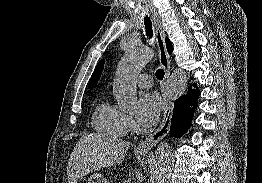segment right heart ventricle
<instances>
[{"label":"right heart ventricle","instance_id":"1","mask_svg":"<svg viewBox=\"0 0 262 183\" xmlns=\"http://www.w3.org/2000/svg\"><path fill=\"white\" fill-rule=\"evenodd\" d=\"M93 129L109 137H124L129 129L127 116L118 110L109 100L99 103L92 115Z\"/></svg>","mask_w":262,"mask_h":183}]
</instances>
